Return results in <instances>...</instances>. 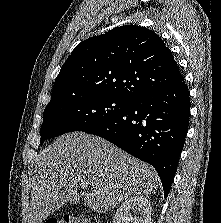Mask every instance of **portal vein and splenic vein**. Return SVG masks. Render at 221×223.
Here are the masks:
<instances>
[{
  "label": "portal vein and splenic vein",
  "mask_w": 221,
  "mask_h": 223,
  "mask_svg": "<svg viewBox=\"0 0 221 223\" xmlns=\"http://www.w3.org/2000/svg\"><path fill=\"white\" fill-rule=\"evenodd\" d=\"M81 188L85 189L88 187V184L86 182H81Z\"/></svg>",
  "instance_id": "18ae733b"
}]
</instances>
